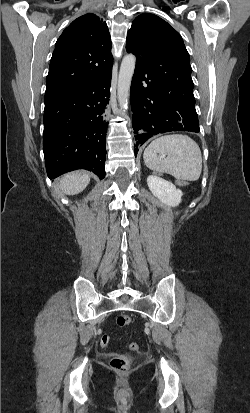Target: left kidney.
<instances>
[{
  "instance_id": "1",
  "label": "left kidney",
  "mask_w": 250,
  "mask_h": 413,
  "mask_svg": "<svg viewBox=\"0 0 250 413\" xmlns=\"http://www.w3.org/2000/svg\"><path fill=\"white\" fill-rule=\"evenodd\" d=\"M147 184L152 194L165 205L175 207L181 203L183 193L171 182L153 174L148 176Z\"/></svg>"
}]
</instances>
